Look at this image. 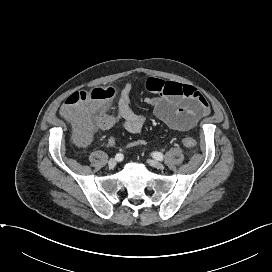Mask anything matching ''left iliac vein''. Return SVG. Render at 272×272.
I'll list each match as a JSON object with an SVG mask.
<instances>
[{
  "mask_svg": "<svg viewBox=\"0 0 272 272\" xmlns=\"http://www.w3.org/2000/svg\"><path fill=\"white\" fill-rule=\"evenodd\" d=\"M148 163L156 169L163 170L164 165L158 161L149 160Z\"/></svg>",
  "mask_w": 272,
  "mask_h": 272,
  "instance_id": "obj_1",
  "label": "left iliac vein"
}]
</instances>
